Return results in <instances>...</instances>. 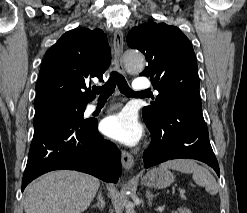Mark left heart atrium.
I'll return each mask as SVG.
<instances>
[{
    "label": "left heart atrium",
    "instance_id": "obj_1",
    "mask_svg": "<svg viewBox=\"0 0 247 213\" xmlns=\"http://www.w3.org/2000/svg\"><path fill=\"white\" fill-rule=\"evenodd\" d=\"M102 132L109 138L128 146L135 145L142 136V126L130 111L110 115L101 123Z\"/></svg>",
    "mask_w": 247,
    "mask_h": 213
}]
</instances>
